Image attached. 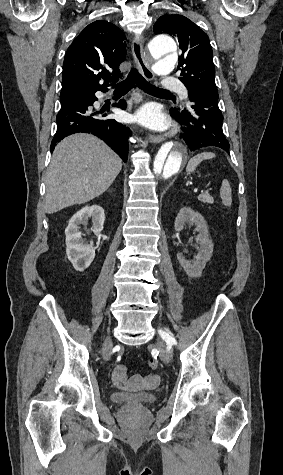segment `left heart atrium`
<instances>
[{
  "label": "left heart atrium",
  "instance_id": "39dd6f15",
  "mask_svg": "<svg viewBox=\"0 0 283 475\" xmlns=\"http://www.w3.org/2000/svg\"><path fill=\"white\" fill-rule=\"evenodd\" d=\"M134 120L140 126L153 130H165L169 121L166 115L161 112L160 107L155 103H148L143 105L134 115Z\"/></svg>",
  "mask_w": 283,
  "mask_h": 475
}]
</instances>
